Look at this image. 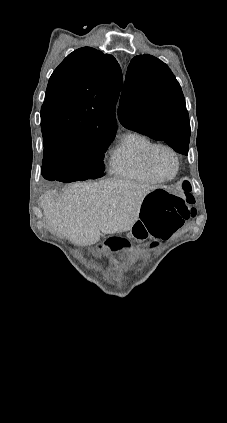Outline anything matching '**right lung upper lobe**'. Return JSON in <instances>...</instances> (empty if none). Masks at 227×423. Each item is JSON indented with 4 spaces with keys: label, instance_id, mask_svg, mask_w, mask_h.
I'll return each instance as SVG.
<instances>
[{
    "label": "right lung upper lobe",
    "instance_id": "1",
    "mask_svg": "<svg viewBox=\"0 0 227 423\" xmlns=\"http://www.w3.org/2000/svg\"><path fill=\"white\" fill-rule=\"evenodd\" d=\"M116 59L91 47L72 52L49 79L41 108L44 142L74 136H115L122 88Z\"/></svg>",
    "mask_w": 227,
    "mask_h": 423
}]
</instances>
